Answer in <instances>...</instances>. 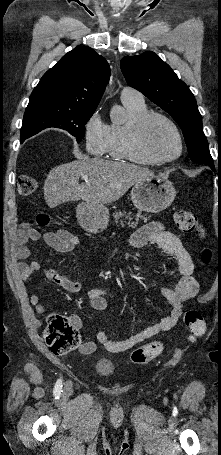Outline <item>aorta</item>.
<instances>
[{"label": "aorta", "mask_w": 221, "mask_h": 455, "mask_svg": "<svg viewBox=\"0 0 221 455\" xmlns=\"http://www.w3.org/2000/svg\"><path fill=\"white\" fill-rule=\"evenodd\" d=\"M107 91H108V89L106 90V92ZM110 117L113 122L121 124L125 121V112L121 107L114 106L111 111Z\"/></svg>", "instance_id": "aorta-1"}]
</instances>
